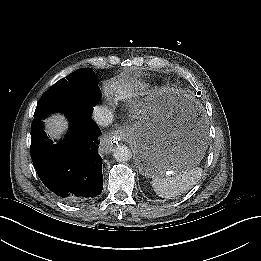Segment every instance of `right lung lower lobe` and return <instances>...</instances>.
<instances>
[{
    "instance_id": "98d812e1",
    "label": "right lung lower lobe",
    "mask_w": 261,
    "mask_h": 261,
    "mask_svg": "<svg viewBox=\"0 0 261 261\" xmlns=\"http://www.w3.org/2000/svg\"><path fill=\"white\" fill-rule=\"evenodd\" d=\"M92 108L77 107L65 114L69 131L53 143L40 119L31 125V157L42 183L57 197L80 203L102 192V158L98 154L101 133L91 118Z\"/></svg>"
}]
</instances>
